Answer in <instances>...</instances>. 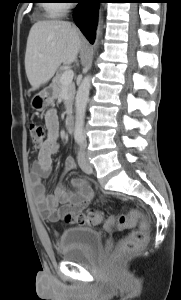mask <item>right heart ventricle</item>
Listing matches in <instances>:
<instances>
[{"mask_svg":"<svg viewBox=\"0 0 181 300\" xmlns=\"http://www.w3.org/2000/svg\"><path fill=\"white\" fill-rule=\"evenodd\" d=\"M66 6L61 3L45 4V10L49 17H59L65 12Z\"/></svg>","mask_w":181,"mask_h":300,"instance_id":"e07e8e85","label":"right heart ventricle"}]
</instances>
